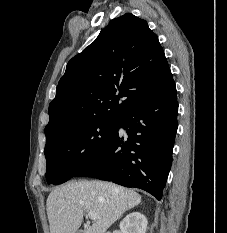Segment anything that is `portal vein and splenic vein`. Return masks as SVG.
<instances>
[{
    "label": "portal vein and splenic vein",
    "instance_id": "1",
    "mask_svg": "<svg viewBox=\"0 0 227 233\" xmlns=\"http://www.w3.org/2000/svg\"><path fill=\"white\" fill-rule=\"evenodd\" d=\"M88 216H89V218L92 219V220H96V219L99 218V217L97 216V214L94 213V212H88Z\"/></svg>",
    "mask_w": 227,
    "mask_h": 233
}]
</instances>
